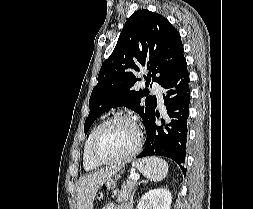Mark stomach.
I'll list each match as a JSON object with an SVG mask.
<instances>
[{
  "label": "stomach",
  "instance_id": "0dacf381",
  "mask_svg": "<svg viewBox=\"0 0 253 209\" xmlns=\"http://www.w3.org/2000/svg\"><path fill=\"white\" fill-rule=\"evenodd\" d=\"M124 175H126L127 173L126 172H124L123 173ZM116 177V179H112V177L111 178H108L104 183H102V187H100V192H112V188H116V183H115V181L114 180H116V182H121V176L120 177H117V176H115Z\"/></svg>",
  "mask_w": 253,
  "mask_h": 209
}]
</instances>
